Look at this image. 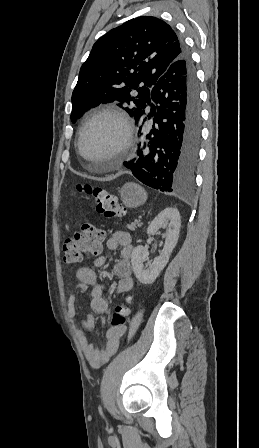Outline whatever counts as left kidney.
<instances>
[{"instance_id":"1","label":"left kidney","mask_w":259,"mask_h":448,"mask_svg":"<svg viewBox=\"0 0 259 448\" xmlns=\"http://www.w3.org/2000/svg\"><path fill=\"white\" fill-rule=\"evenodd\" d=\"M180 226V214L177 208H165L151 222L149 228H147V234L154 236V234H159L158 230L160 228H167V232L163 236L166 240L160 256L154 258V262L148 260L149 252L146 248H143V246L134 248L131 254L132 270L141 284H153L160 272L164 270L166 264H168L172 250L178 242ZM145 260H147L146 266L143 264Z\"/></svg>"}]
</instances>
